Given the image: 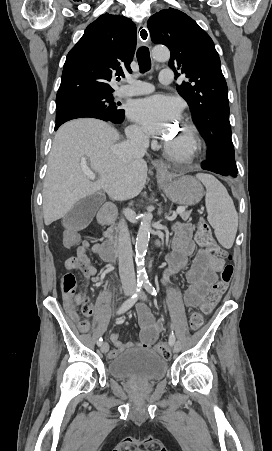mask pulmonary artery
Listing matches in <instances>:
<instances>
[{
  "instance_id": "pulmonary-artery-1",
  "label": "pulmonary artery",
  "mask_w": 272,
  "mask_h": 451,
  "mask_svg": "<svg viewBox=\"0 0 272 451\" xmlns=\"http://www.w3.org/2000/svg\"><path fill=\"white\" fill-rule=\"evenodd\" d=\"M173 76V70H170L168 66H165L163 70H160L159 80L164 84H168L172 81ZM147 84V81L144 79H134L132 84H126L124 89L118 90L115 95L118 97H128L151 93L154 88L151 85L147 86Z\"/></svg>"
}]
</instances>
